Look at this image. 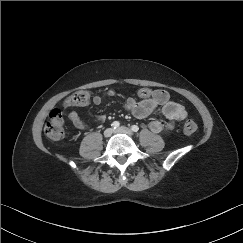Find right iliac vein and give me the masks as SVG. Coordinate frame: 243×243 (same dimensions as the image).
I'll return each mask as SVG.
<instances>
[{
  "instance_id": "63e3f726",
  "label": "right iliac vein",
  "mask_w": 243,
  "mask_h": 243,
  "mask_svg": "<svg viewBox=\"0 0 243 243\" xmlns=\"http://www.w3.org/2000/svg\"><path fill=\"white\" fill-rule=\"evenodd\" d=\"M113 134V129L112 128H108L104 131V136L105 137H110Z\"/></svg>"
}]
</instances>
